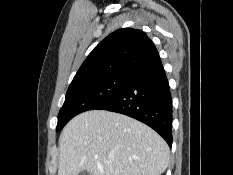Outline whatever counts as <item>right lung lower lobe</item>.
I'll list each match as a JSON object with an SVG mask.
<instances>
[{
    "instance_id": "right-lung-lower-lobe-1",
    "label": "right lung lower lobe",
    "mask_w": 233,
    "mask_h": 175,
    "mask_svg": "<svg viewBox=\"0 0 233 175\" xmlns=\"http://www.w3.org/2000/svg\"><path fill=\"white\" fill-rule=\"evenodd\" d=\"M96 109L137 119L172 145V99L161 61L133 76L113 98Z\"/></svg>"
}]
</instances>
